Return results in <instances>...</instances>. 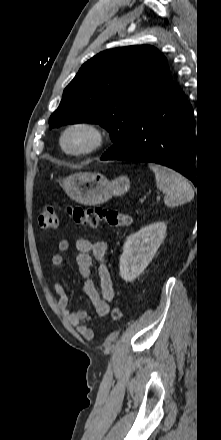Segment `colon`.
<instances>
[{
  "mask_svg": "<svg viewBox=\"0 0 221 440\" xmlns=\"http://www.w3.org/2000/svg\"><path fill=\"white\" fill-rule=\"evenodd\" d=\"M67 212L76 224L86 228L98 227L102 222L114 227H125L133 222V217L130 214L100 207H68ZM39 224L46 231L57 229L58 220L53 206L47 205L42 209L39 215ZM122 316L123 313L120 307L116 306L112 309L111 318L113 321H120Z\"/></svg>",
  "mask_w": 221,
  "mask_h": 440,
  "instance_id": "1",
  "label": "colon"
}]
</instances>
